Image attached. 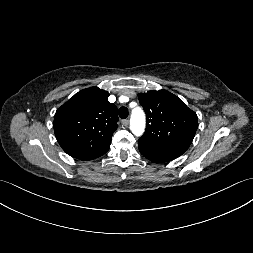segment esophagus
<instances>
[{"label": "esophagus", "mask_w": 253, "mask_h": 253, "mask_svg": "<svg viewBox=\"0 0 253 253\" xmlns=\"http://www.w3.org/2000/svg\"><path fill=\"white\" fill-rule=\"evenodd\" d=\"M122 125L123 126H128L129 125V120L128 119L122 120Z\"/></svg>", "instance_id": "34e87169"}]
</instances>
